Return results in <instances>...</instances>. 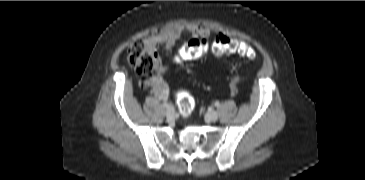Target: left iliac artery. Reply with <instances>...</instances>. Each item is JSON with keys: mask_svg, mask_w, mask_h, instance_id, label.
Masks as SVG:
<instances>
[{"mask_svg": "<svg viewBox=\"0 0 365 180\" xmlns=\"http://www.w3.org/2000/svg\"><path fill=\"white\" fill-rule=\"evenodd\" d=\"M219 105H220L219 102H215L216 107H219Z\"/></svg>", "mask_w": 365, "mask_h": 180, "instance_id": "44dca946", "label": "left iliac artery"}]
</instances>
